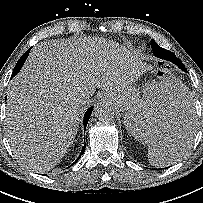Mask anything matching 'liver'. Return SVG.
Returning <instances> with one entry per match:
<instances>
[{
    "label": "liver",
    "mask_w": 203,
    "mask_h": 203,
    "mask_svg": "<svg viewBox=\"0 0 203 203\" xmlns=\"http://www.w3.org/2000/svg\"><path fill=\"white\" fill-rule=\"evenodd\" d=\"M129 54L101 38L51 40L34 47L8 86L5 127L14 155L37 173L55 167L73 143L81 107L95 89L111 100L133 81L139 62ZM188 132L184 119L167 112L152 138L160 144Z\"/></svg>",
    "instance_id": "1"
}]
</instances>
